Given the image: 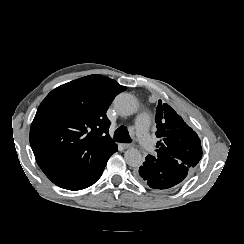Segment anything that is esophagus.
I'll return each mask as SVG.
<instances>
[{"label": "esophagus", "mask_w": 244, "mask_h": 244, "mask_svg": "<svg viewBox=\"0 0 244 244\" xmlns=\"http://www.w3.org/2000/svg\"><path fill=\"white\" fill-rule=\"evenodd\" d=\"M131 147H133L132 144H123V148H124V149H129V148H131Z\"/></svg>", "instance_id": "esophagus-1"}]
</instances>
